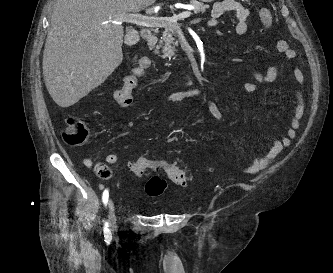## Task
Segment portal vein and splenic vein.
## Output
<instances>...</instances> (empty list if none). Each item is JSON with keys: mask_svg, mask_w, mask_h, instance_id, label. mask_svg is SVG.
Here are the masks:
<instances>
[{"mask_svg": "<svg viewBox=\"0 0 333 273\" xmlns=\"http://www.w3.org/2000/svg\"><path fill=\"white\" fill-rule=\"evenodd\" d=\"M190 11H184L178 15L172 17H153V16H143L140 14H126L117 18L113 23L118 24L119 22H126L131 24H136L144 27H167L169 25H174L180 19H185L190 17Z\"/></svg>", "mask_w": 333, "mask_h": 273, "instance_id": "1", "label": "portal vein and splenic vein"}]
</instances>
